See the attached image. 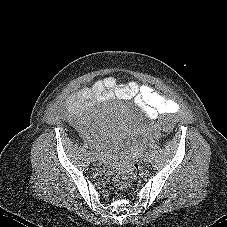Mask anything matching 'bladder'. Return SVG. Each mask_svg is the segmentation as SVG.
<instances>
[{"label":"bladder","instance_id":"1","mask_svg":"<svg viewBox=\"0 0 227 227\" xmlns=\"http://www.w3.org/2000/svg\"><path fill=\"white\" fill-rule=\"evenodd\" d=\"M131 113H132V114H137V112H136V111H134V110H131Z\"/></svg>","mask_w":227,"mask_h":227}]
</instances>
